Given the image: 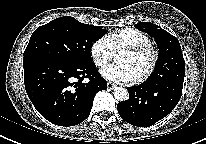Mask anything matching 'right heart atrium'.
Returning a JSON list of instances; mask_svg holds the SVG:
<instances>
[{"label":"right heart atrium","mask_w":206,"mask_h":144,"mask_svg":"<svg viewBox=\"0 0 206 144\" xmlns=\"http://www.w3.org/2000/svg\"><path fill=\"white\" fill-rule=\"evenodd\" d=\"M90 55L97 67H103L108 63L112 57V48L106 37H100L91 44Z\"/></svg>","instance_id":"d8ad5b80"}]
</instances>
